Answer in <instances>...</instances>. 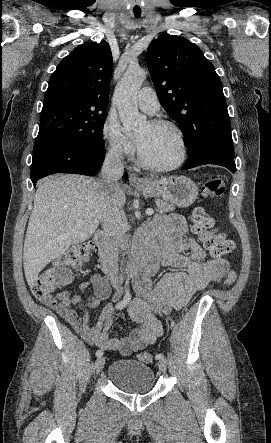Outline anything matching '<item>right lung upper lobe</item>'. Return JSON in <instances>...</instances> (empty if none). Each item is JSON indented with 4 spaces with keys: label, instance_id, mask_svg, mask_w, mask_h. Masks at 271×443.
Wrapping results in <instances>:
<instances>
[{
    "label": "right lung upper lobe",
    "instance_id": "right-lung-upper-lobe-1",
    "mask_svg": "<svg viewBox=\"0 0 271 443\" xmlns=\"http://www.w3.org/2000/svg\"><path fill=\"white\" fill-rule=\"evenodd\" d=\"M112 70L113 58L107 42L79 45L51 75L44 103L72 100L107 107Z\"/></svg>",
    "mask_w": 271,
    "mask_h": 443
}]
</instances>
